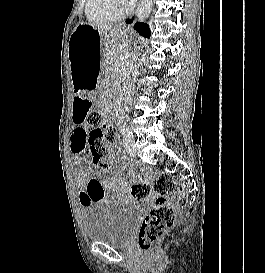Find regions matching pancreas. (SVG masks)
<instances>
[{
  "label": "pancreas",
  "mask_w": 265,
  "mask_h": 273,
  "mask_svg": "<svg viewBox=\"0 0 265 273\" xmlns=\"http://www.w3.org/2000/svg\"><path fill=\"white\" fill-rule=\"evenodd\" d=\"M128 53L127 48L113 47L107 55L105 60V67L108 72L115 71L121 67L124 60L122 57Z\"/></svg>",
  "instance_id": "1"
}]
</instances>
